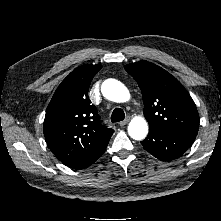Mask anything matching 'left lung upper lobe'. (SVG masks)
I'll use <instances>...</instances> for the list:
<instances>
[{"label": "left lung upper lobe", "mask_w": 221, "mask_h": 221, "mask_svg": "<svg viewBox=\"0 0 221 221\" xmlns=\"http://www.w3.org/2000/svg\"><path fill=\"white\" fill-rule=\"evenodd\" d=\"M125 69L141 89L149 129L197 135L199 114L195 103L175 77L147 61L127 64Z\"/></svg>", "instance_id": "1"}]
</instances>
